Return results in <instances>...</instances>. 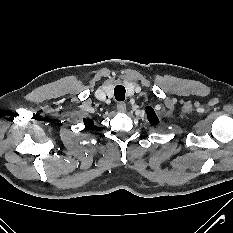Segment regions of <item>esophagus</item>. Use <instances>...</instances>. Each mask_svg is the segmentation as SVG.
Returning a JSON list of instances; mask_svg holds the SVG:
<instances>
[{
	"label": "esophagus",
	"mask_w": 233,
	"mask_h": 233,
	"mask_svg": "<svg viewBox=\"0 0 233 233\" xmlns=\"http://www.w3.org/2000/svg\"><path fill=\"white\" fill-rule=\"evenodd\" d=\"M117 110H118V112H120V113L126 112V104H125L124 102H119V103L117 104Z\"/></svg>",
	"instance_id": "34e87169"
}]
</instances>
